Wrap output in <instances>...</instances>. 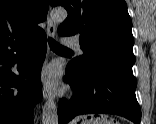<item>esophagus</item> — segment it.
Masks as SVG:
<instances>
[{
  "label": "esophagus",
  "mask_w": 156,
  "mask_h": 124,
  "mask_svg": "<svg viewBox=\"0 0 156 124\" xmlns=\"http://www.w3.org/2000/svg\"><path fill=\"white\" fill-rule=\"evenodd\" d=\"M55 32H56L55 24L53 23L52 19L50 18V15L48 14V16H47V34L49 37H54ZM42 92H43V97L45 99L53 98L52 92L46 83L43 84Z\"/></svg>",
  "instance_id": "1"
}]
</instances>
